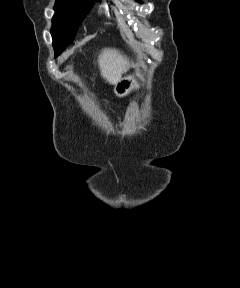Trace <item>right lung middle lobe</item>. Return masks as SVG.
I'll list each match as a JSON object with an SVG mask.
<instances>
[{
	"mask_svg": "<svg viewBox=\"0 0 240 288\" xmlns=\"http://www.w3.org/2000/svg\"><path fill=\"white\" fill-rule=\"evenodd\" d=\"M94 0H57L52 19L51 34L55 56L74 40L77 30Z\"/></svg>",
	"mask_w": 240,
	"mask_h": 288,
	"instance_id": "dd1d6c3e",
	"label": "right lung middle lobe"
}]
</instances>
